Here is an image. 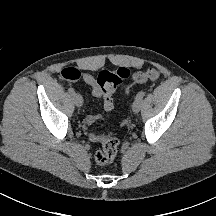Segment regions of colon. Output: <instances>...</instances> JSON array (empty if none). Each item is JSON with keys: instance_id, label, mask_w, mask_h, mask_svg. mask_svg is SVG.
Returning <instances> with one entry per match:
<instances>
[{"instance_id": "5ec220e1", "label": "colon", "mask_w": 216, "mask_h": 216, "mask_svg": "<svg viewBox=\"0 0 216 216\" xmlns=\"http://www.w3.org/2000/svg\"><path fill=\"white\" fill-rule=\"evenodd\" d=\"M61 75L64 79L69 81L80 78V72L72 67L63 69ZM129 75V70L123 67L116 70H103L99 73L97 82L104 94V103L108 108H113V93ZM159 76L160 73L157 68L149 67L143 72L136 73L133 76V82L144 83L146 81H156ZM118 146L119 141L112 133L103 135L101 147L95 154L96 163L99 165L111 163L117 154Z\"/></svg>"}]
</instances>
